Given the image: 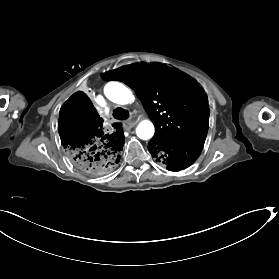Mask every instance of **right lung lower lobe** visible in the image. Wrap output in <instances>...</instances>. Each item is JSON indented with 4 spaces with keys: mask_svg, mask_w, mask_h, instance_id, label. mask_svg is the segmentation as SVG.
<instances>
[{
    "mask_svg": "<svg viewBox=\"0 0 279 279\" xmlns=\"http://www.w3.org/2000/svg\"><path fill=\"white\" fill-rule=\"evenodd\" d=\"M58 132L70 161L82 172L104 175L120 161L125 140L120 124L103 127L102 118L82 92L73 94L62 105Z\"/></svg>",
    "mask_w": 279,
    "mask_h": 279,
    "instance_id": "obj_1",
    "label": "right lung lower lobe"
}]
</instances>
